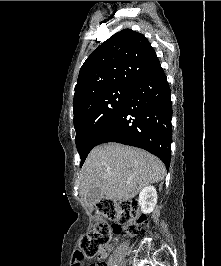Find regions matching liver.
<instances>
[{"label":"liver","instance_id":"6515ba94","mask_svg":"<svg viewBox=\"0 0 221 266\" xmlns=\"http://www.w3.org/2000/svg\"><path fill=\"white\" fill-rule=\"evenodd\" d=\"M166 173L162 161L138 148L118 143L95 147L81 172L80 192L85 196L94 187L109 200H129L149 184L158 183Z\"/></svg>","mask_w":221,"mask_h":266}]
</instances>
